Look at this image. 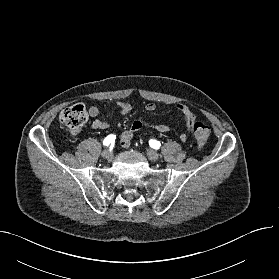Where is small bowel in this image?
Listing matches in <instances>:
<instances>
[{
	"label": "small bowel",
	"instance_id": "1",
	"mask_svg": "<svg viewBox=\"0 0 279 279\" xmlns=\"http://www.w3.org/2000/svg\"><path fill=\"white\" fill-rule=\"evenodd\" d=\"M117 108L122 115H127L133 110V106L124 101L117 102ZM144 108L146 111L153 112L157 109V106L154 103H148ZM175 109L180 113L184 120V131L180 133L179 138L182 142H185L189 138L190 132L195 124L196 114L184 103H177ZM99 112V108L96 106H91L88 110V113L92 118H96L99 115ZM144 126H150L160 133H168L170 131V126L167 123L151 124L144 119H137L132 123L131 127L121 135V146L127 148L135 133L141 130ZM90 127L97 130H106L109 125L105 121L95 119L91 122Z\"/></svg>",
	"mask_w": 279,
	"mask_h": 279
}]
</instances>
